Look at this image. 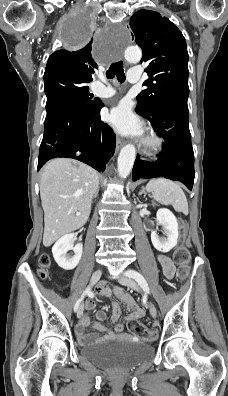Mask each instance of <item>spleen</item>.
<instances>
[{
  "mask_svg": "<svg viewBox=\"0 0 228 396\" xmlns=\"http://www.w3.org/2000/svg\"><path fill=\"white\" fill-rule=\"evenodd\" d=\"M146 190L152 193V197L164 205H172L174 210L188 214L187 198L179 185L165 178L150 180Z\"/></svg>",
  "mask_w": 228,
  "mask_h": 396,
  "instance_id": "spleen-1",
  "label": "spleen"
}]
</instances>
